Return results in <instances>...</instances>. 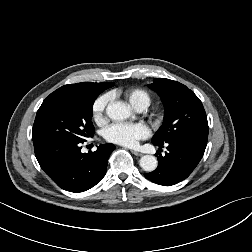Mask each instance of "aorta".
<instances>
[{
	"instance_id": "aorta-1",
	"label": "aorta",
	"mask_w": 252,
	"mask_h": 252,
	"mask_svg": "<svg viewBox=\"0 0 252 252\" xmlns=\"http://www.w3.org/2000/svg\"><path fill=\"white\" fill-rule=\"evenodd\" d=\"M108 117L112 120L121 121L131 115L130 108L120 102H111L106 108ZM157 159L152 155H144L140 158L139 164L144 171L152 172L157 167Z\"/></svg>"
}]
</instances>
